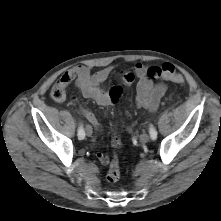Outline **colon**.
<instances>
[{
    "label": "colon",
    "mask_w": 221,
    "mask_h": 221,
    "mask_svg": "<svg viewBox=\"0 0 221 221\" xmlns=\"http://www.w3.org/2000/svg\"><path fill=\"white\" fill-rule=\"evenodd\" d=\"M147 76L150 79L166 80V81L175 83L177 85L184 84L183 76L177 73L174 66L169 63H165L161 66L150 67L147 70ZM110 94H111L112 99L115 102H117L120 99L121 94H122L121 87L113 86L110 89ZM50 97L55 102L65 101L67 99L66 87L60 81H57L51 88ZM119 145H120V140L116 137L114 140V146L119 147ZM120 176H121V173H120L118 158L116 155H113L109 163V169L106 175V179L109 183L113 184L119 181Z\"/></svg>",
    "instance_id": "colon-1"
}]
</instances>
